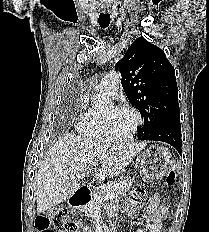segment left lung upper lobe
I'll return each instance as SVG.
<instances>
[{
    "label": "left lung upper lobe",
    "mask_w": 209,
    "mask_h": 232,
    "mask_svg": "<svg viewBox=\"0 0 209 232\" xmlns=\"http://www.w3.org/2000/svg\"><path fill=\"white\" fill-rule=\"evenodd\" d=\"M115 68L129 102L144 117L139 137H148L165 122L180 118L175 70L162 49L138 37Z\"/></svg>",
    "instance_id": "left-lung-upper-lobe-1"
}]
</instances>
